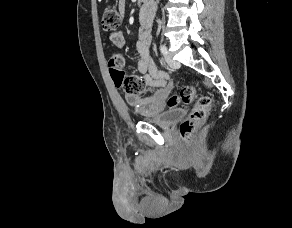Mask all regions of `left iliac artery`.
Wrapping results in <instances>:
<instances>
[{
    "label": "left iliac artery",
    "mask_w": 292,
    "mask_h": 228,
    "mask_svg": "<svg viewBox=\"0 0 292 228\" xmlns=\"http://www.w3.org/2000/svg\"><path fill=\"white\" fill-rule=\"evenodd\" d=\"M160 51H161V53H162L163 55H166V54L168 53V51H167V47H166L164 44H162V45L160 46Z\"/></svg>",
    "instance_id": "1"
}]
</instances>
